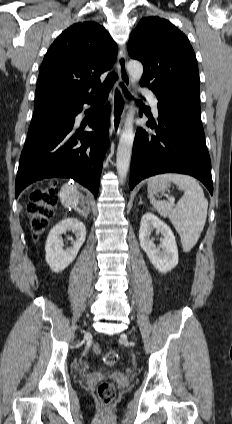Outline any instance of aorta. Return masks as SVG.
<instances>
[{
  "label": "aorta",
  "instance_id": "aorta-1",
  "mask_svg": "<svg viewBox=\"0 0 232 424\" xmlns=\"http://www.w3.org/2000/svg\"><path fill=\"white\" fill-rule=\"evenodd\" d=\"M127 70L130 75V81L132 84H135L141 79L143 74V66L140 62L136 60L129 61V63L127 64ZM133 118L134 113L133 110L130 109L129 113L127 114L124 128L121 132L119 144L117 147L116 167L118 176L122 183L127 176L131 161L134 140Z\"/></svg>",
  "mask_w": 232,
  "mask_h": 424
}]
</instances>
